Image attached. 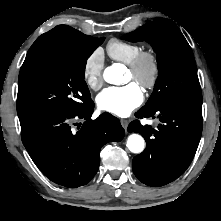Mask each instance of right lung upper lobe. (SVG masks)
I'll return each instance as SVG.
<instances>
[{"mask_svg": "<svg viewBox=\"0 0 221 221\" xmlns=\"http://www.w3.org/2000/svg\"><path fill=\"white\" fill-rule=\"evenodd\" d=\"M88 37L90 36L84 35L70 26L58 25L47 33L42 34L33 43L21 68L27 66L31 61L47 50L67 46L85 40Z\"/></svg>", "mask_w": 221, "mask_h": 221, "instance_id": "cb5924a9", "label": "right lung upper lobe"}]
</instances>
